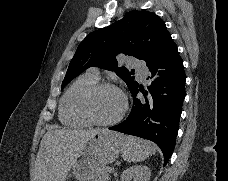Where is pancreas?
Instances as JSON below:
<instances>
[{"label":"pancreas","instance_id":"cf45deb5","mask_svg":"<svg viewBox=\"0 0 228 181\" xmlns=\"http://www.w3.org/2000/svg\"><path fill=\"white\" fill-rule=\"evenodd\" d=\"M109 169L110 167H106V169H102V171H100V175H102L103 181H108L109 175H107V173Z\"/></svg>","mask_w":228,"mask_h":181}]
</instances>
